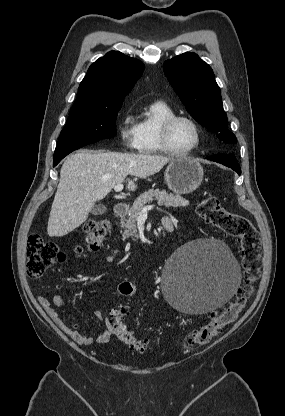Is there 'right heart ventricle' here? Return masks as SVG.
<instances>
[{
    "label": "right heart ventricle",
    "mask_w": 285,
    "mask_h": 416,
    "mask_svg": "<svg viewBox=\"0 0 285 416\" xmlns=\"http://www.w3.org/2000/svg\"><path fill=\"white\" fill-rule=\"evenodd\" d=\"M174 111L170 105L161 99L153 101L145 112L137 119V129L140 137V152L146 154H160L164 150L161 146L159 130L161 123Z\"/></svg>",
    "instance_id": "obj_1"
}]
</instances>
